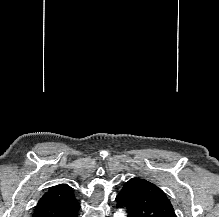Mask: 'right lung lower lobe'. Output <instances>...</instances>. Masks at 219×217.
<instances>
[{
  "instance_id": "98d812e1",
  "label": "right lung lower lobe",
  "mask_w": 219,
  "mask_h": 217,
  "mask_svg": "<svg viewBox=\"0 0 219 217\" xmlns=\"http://www.w3.org/2000/svg\"><path fill=\"white\" fill-rule=\"evenodd\" d=\"M69 217H77V212H76V213H73V214H71Z\"/></svg>"
}]
</instances>
